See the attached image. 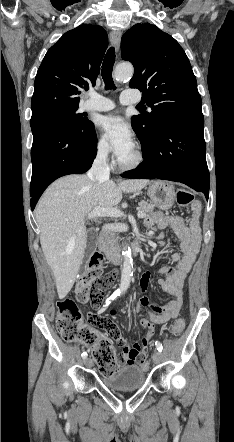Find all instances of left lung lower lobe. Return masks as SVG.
<instances>
[{"instance_id":"0a47b994","label":"left lung lower lobe","mask_w":234,"mask_h":442,"mask_svg":"<svg viewBox=\"0 0 234 442\" xmlns=\"http://www.w3.org/2000/svg\"><path fill=\"white\" fill-rule=\"evenodd\" d=\"M203 128L202 112L171 119L157 130L149 147L142 150L144 161L122 177L181 182L202 191L208 200L209 171Z\"/></svg>"}]
</instances>
